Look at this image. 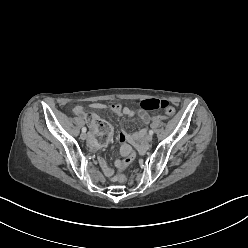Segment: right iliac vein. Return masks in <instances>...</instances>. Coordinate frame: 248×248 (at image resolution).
Masks as SVG:
<instances>
[{
    "mask_svg": "<svg viewBox=\"0 0 248 248\" xmlns=\"http://www.w3.org/2000/svg\"><path fill=\"white\" fill-rule=\"evenodd\" d=\"M80 138H81L82 140H86V138H87L86 133H82V134L80 135Z\"/></svg>",
    "mask_w": 248,
    "mask_h": 248,
    "instance_id": "obj_1",
    "label": "right iliac vein"
}]
</instances>
